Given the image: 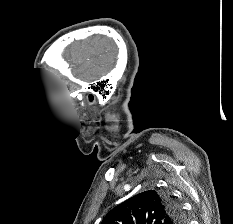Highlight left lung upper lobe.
Segmentation results:
<instances>
[{"mask_svg":"<svg viewBox=\"0 0 233 224\" xmlns=\"http://www.w3.org/2000/svg\"><path fill=\"white\" fill-rule=\"evenodd\" d=\"M183 215L172 196L154 190L139 193L111 210L101 224H182Z\"/></svg>","mask_w":233,"mask_h":224,"instance_id":"obj_1","label":"left lung upper lobe"}]
</instances>
